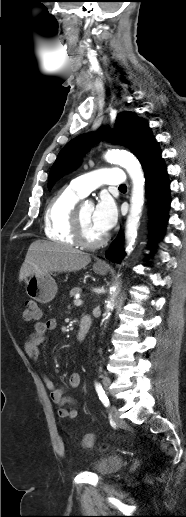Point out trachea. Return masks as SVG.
Listing matches in <instances>:
<instances>
[{
	"instance_id": "1",
	"label": "trachea",
	"mask_w": 186,
	"mask_h": 517,
	"mask_svg": "<svg viewBox=\"0 0 186 517\" xmlns=\"http://www.w3.org/2000/svg\"><path fill=\"white\" fill-rule=\"evenodd\" d=\"M119 188H120V189H122V188H123V189H126L127 187H126V185H125V184H123V185H120V186H119Z\"/></svg>"
}]
</instances>
